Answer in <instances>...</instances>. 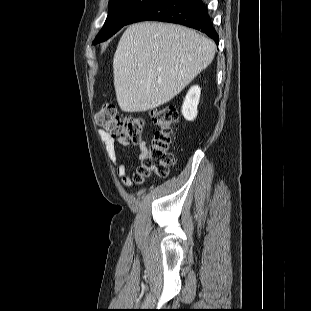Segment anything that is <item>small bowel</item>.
<instances>
[{
	"instance_id": "small-bowel-1",
	"label": "small bowel",
	"mask_w": 311,
	"mask_h": 311,
	"mask_svg": "<svg viewBox=\"0 0 311 311\" xmlns=\"http://www.w3.org/2000/svg\"><path fill=\"white\" fill-rule=\"evenodd\" d=\"M98 135L105 145V151L109 160L116 167V174L121 179L125 187L131 186L135 182L136 173H128L127 166L124 163L118 162L117 144L121 146H129L130 143L123 137L118 139L113 138L109 133L104 130H99ZM139 148V160L141 161L147 152V146L144 141L137 144Z\"/></svg>"
}]
</instances>
